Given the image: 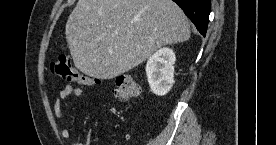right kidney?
<instances>
[{"label":"right kidney","instance_id":"right-kidney-1","mask_svg":"<svg viewBox=\"0 0 276 145\" xmlns=\"http://www.w3.org/2000/svg\"><path fill=\"white\" fill-rule=\"evenodd\" d=\"M175 53L164 47L156 51L147 61L146 75L151 91L158 96L166 95L174 82Z\"/></svg>","mask_w":276,"mask_h":145}]
</instances>
